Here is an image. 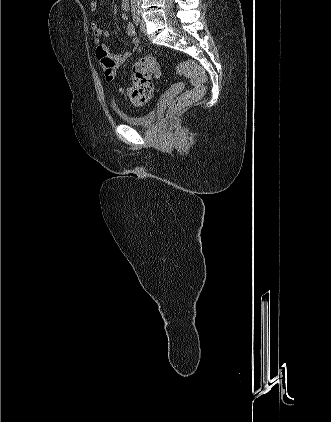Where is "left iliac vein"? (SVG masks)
Masks as SVG:
<instances>
[{"label":"left iliac vein","mask_w":331,"mask_h":422,"mask_svg":"<svg viewBox=\"0 0 331 422\" xmlns=\"http://www.w3.org/2000/svg\"><path fill=\"white\" fill-rule=\"evenodd\" d=\"M140 28L143 34H146V24L144 20H141Z\"/></svg>","instance_id":"left-iliac-vein-1"}]
</instances>
